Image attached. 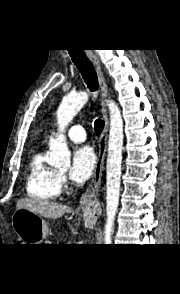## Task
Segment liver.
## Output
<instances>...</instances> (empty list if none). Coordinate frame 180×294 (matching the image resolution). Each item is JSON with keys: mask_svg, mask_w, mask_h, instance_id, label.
<instances>
[{"mask_svg": "<svg viewBox=\"0 0 180 294\" xmlns=\"http://www.w3.org/2000/svg\"><path fill=\"white\" fill-rule=\"evenodd\" d=\"M16 209H26L45 218L58 219L71 212L70 207L52 201L25 198L19 199Z\"/></svg>", "mask_w": 180, "mask_h": 294, "instance_id": "liver-1", "label": "liver"}]
</instances>
